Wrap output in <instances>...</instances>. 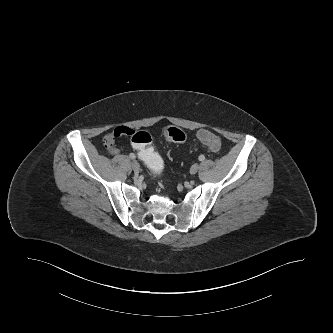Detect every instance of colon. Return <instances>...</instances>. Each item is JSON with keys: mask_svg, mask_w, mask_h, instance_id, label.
Returning <instances> with one entry per match:
<instances>
[{"mask_svg": "<svg viewBox=\"0 0 333 333\" xmlns=\"http://www.w3.org/2000/svg\"><path fill=\"white\" fill-rule=\"evenodd\" d=\"M135 132V139L130 140L132 145L135 147V156L138 159H141L142 165L150 175H160L164 169L162 157L154 148L150 146L152 142L150 134L146 131ZM164 137L175 143H183L186 140L185 132L177 127L166 128L164 130ZM198 139L211 151H218L221 147L220 138L209 130L199 131Z\"/></svg>", "mask_w": 333, "mask_h": 333, "instance_id": "colon-1", "label": "colon"}]
</instances>
